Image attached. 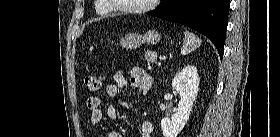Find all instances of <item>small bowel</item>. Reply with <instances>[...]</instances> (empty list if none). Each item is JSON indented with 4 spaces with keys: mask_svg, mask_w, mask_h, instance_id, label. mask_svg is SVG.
<instances>
[{
    "mask_svg": "<svg viewBox=\"0 0 280 137\" xmlns=\"http://www.w3.org/2000/svg\"><path fill=\"white\" fill-rule=\"evenodd\" d=\"M128 81L131 86L139 93L146 94L152 86V78L140 67H133L127 73L126 71H116L112 76V82L106 86L105 92L108 97L119 98L121 90L124 89ZM125 105L124 102H121ZM101 99L99 97H90L86 101V109L89 111L90 123L94 126L101 123L103 114L100 109ZM107 115L110 119L119 117V110L116 106L108 107ZM153 124L149 121L141 123V137H152ZM107 137H123L121 133L111 132Z\"/></svg>",
    "mask_w": 280,
    "mask_h": 137,
    "instance_id": "c3829d8e",
    "label": "small bowel"
}]
</instances>
